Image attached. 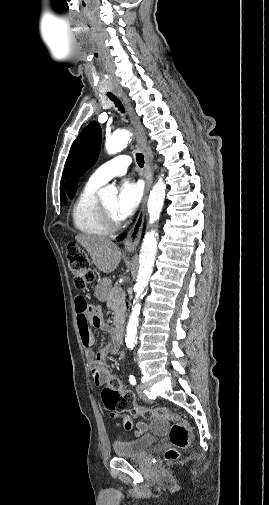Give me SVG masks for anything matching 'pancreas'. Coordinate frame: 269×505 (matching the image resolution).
Returning <instances> with one entry per match:
<instances>
[{"label":"pancreas","mask_w":269,"mask_h":505,"mask_svg":"<svg viewBox=\"0 0 269 505\" xmlns=\"http://www.w3.org/2000/svg\"><path fill=\"white\" fill-rule=\"evenodd\" d=\"M107 307L114 312V324L123 323L125 319V294L123 290L115 286L111 288L107 296Z\"/></svg>","instance_id":"obj_1"}]
</instances>
